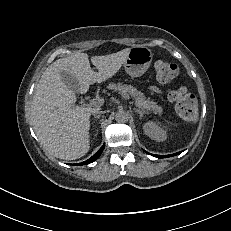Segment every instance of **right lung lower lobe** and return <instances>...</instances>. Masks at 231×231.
I'll return each mask as SVG.
<instances>
[{
    "instance_id": "obj_1",
    "label": "right lung lower lobe",
    "mask_w": 231,
    "mask_h": 231,
    "mask_svg": "<svg viewBox=\"0 0 231 231\" xmlns=\"http://www.w3.org/2000/svg\"><path fill=\"white\" fill-rule=\"evenodd\" d=\"M103 149H104V145L90 159H88V160H86V161H84L82 163H79L77 165H86V164L92 163L93 161H95L101 155Z\"/></svg>"
}]
</instances>
